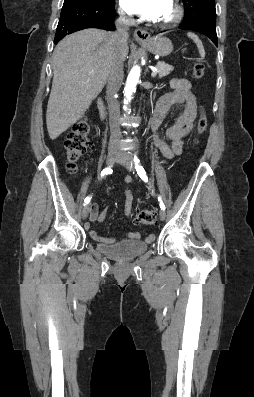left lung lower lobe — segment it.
<instances>
[{"mask_svg": "<svg viewBox=\"0 0 254 397\" xmlns=\"http://www.w3.org/2000/svg\"><path fill=\"white\" fill-rule=\"evenodd\" d=\"M184 6L185 15L179 28L200 32L208 36L218 46L215 2L189 0Z\"/></svg>", "mask_w": 254, "mask_h": 397, "instance_id": "0a47b994", "label": "left lung lower lobe"}]
</instances>
